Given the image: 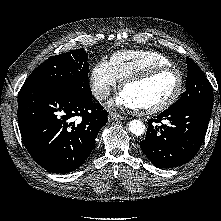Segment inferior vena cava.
<instances>
[{
    "label": "inferior vena cava",
    "instance_id": "602c4592",
    "mask_svg": "<svg viewBox=\"0 0 221 221\" xmlns=\"http://www.w3.org/2000/svg\"><path fill=\"white\" fill-rule=\"evenodd\" d=\"M109 95V90L107 88H104L100 91H98L96 94H95V97L98 99V100H105Z\"/></svg>",
    "mask_w": 221,
    "mask_h": 221
}]
</instances>
